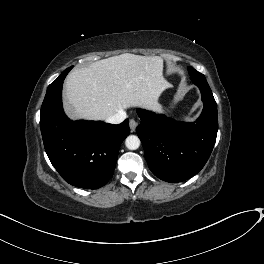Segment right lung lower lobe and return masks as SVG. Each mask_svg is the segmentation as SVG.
<instances>
[{"label":"right lung lower lobe","mask_w":264,"mask_h":264,"mask_svg":"<svg viewBox=\"0 0 264 264\" xmlns=\"http://www.w3.org/2000/svg\"><path fill=\"white\" fill-rule=\"evenodd\" d=\"M67 74L49 85L41 107L45 151L66 182L79 188L97 189L113 176L120 145L130 133L129 120L118 125L71 121L63 112L61 99Z\"/></svg>","instance_id":"1"}]
</instances>
